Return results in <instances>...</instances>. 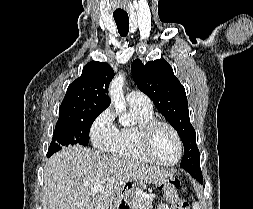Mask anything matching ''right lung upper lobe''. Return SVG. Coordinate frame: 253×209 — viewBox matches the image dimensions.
Instances as JSON below:
<instances>
[{
  "label": "right lung upper lobe",
  "mask_w": 253,
  "mask_h": 209,
  "mask_svg": "<svg viewBox=\"0 0 253 209\" xmlns=\"http://www.w3.org/2000/svg\"><path fill=\"white\" fill-rule=\"evenodd\" d=\"M113 77L114 71L109 64L98 61L87 63L82 75L69 85L57 122L104 111L110 105L108 87Z\"/></svg>",
  "instance_id": "1"
}]
</instances>
